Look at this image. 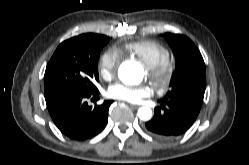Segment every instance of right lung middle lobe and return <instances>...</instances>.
Returning a JSON list of instances; mask_svg holds the SVG:
<instances>
[{"label":"right lung middle lobe","mask_w":249,"mask_h":165,"mask_svg":"<svg viewBox=\"0 0 249 165\" xmlns=\"http://www.w3.org/2000/svg\"><path fill=\"white\" fill-rule=\"evenodd\" d=\"M108 41L107 36L87 33L62 42L46 67L45 88L96 91L94 83L99 81L97 61Z\"/></svg>","instance_id":"1"}]
</instances>
